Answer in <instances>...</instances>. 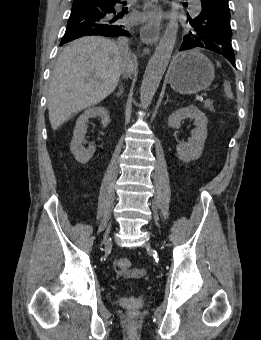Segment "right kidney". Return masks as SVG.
<instances>
[{
	"label": "right kidney",
	"instance_id": "1",
	"mask_svg": "<svg viewBox=\"0 0 261 340\" xmlns=\"http://www.w3.org/2000/svg\"><path fill=\"white\" fill-rule=\"evenodd\" d=\"M97 116L101 118L103 127L106 128L110 123V116L108 110L104 107L89 108L85 110L76 121L73 138L70 143V150L79 163H87L95 152L94 145H89V147L85 149L82 143L85 141V134L87 133L86 122L89 118Z\"/></svg>",
	"mask_w": 261,
	"mask_h": 340
}]
</instances>
